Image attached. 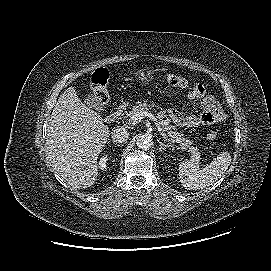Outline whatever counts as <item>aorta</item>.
<instances>
[{
	"instance_id": "obj_1",
	"label": "aorta",
	"mask_w": 271,
	"mask_h": 271,
	"mask_svg": "<svg viewBox=\"0 0 271 271\" xmlns=\"http://www.w3.org/2000/svg\"><path fill=\"white\" fill-rule=\"evenodd\" d=\"M136 144L139 149L148 150L152 146L153 142L150 136L140 135L137 138Z\"/></svg>"
}]
</instances>
